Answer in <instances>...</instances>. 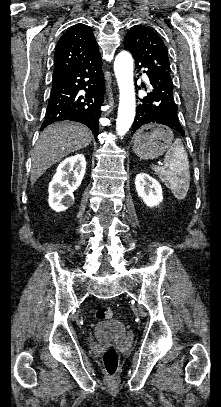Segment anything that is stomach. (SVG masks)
Segmentation results:
<instances>
[{
    "label": "stomach",
    "instance_id": "stomach-1",
    "mask_svg": "<svg viewBox=\"0 0 221 407\" xmlns=\"http://www.w3.org/2000/svg\"><path fill=\"white\" fill-rule=\"evenodd\" d=\"M173 133L170 129L153 124L145 125L134 136V153L142 159H154L161 156L172 144Z\"/></svg>",
    "mask_w": 221,
    "mask_h": 407
}]
</instances>
